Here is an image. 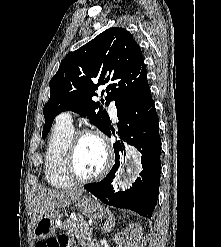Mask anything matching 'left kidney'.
Listing matches in <instances>:
<instances>
[{
	"mask_svg": "<svg viewBox=\"0 0 221 247\" xmlns=\"http://www.w3.org/2000/svg\"><path fill=\"white\" fill-rule=\"evenodd\" d=\"M143 228L140 224L130 225L121 235L115 236L118 247H139Z\"/></svg>",
	"mask_w": 221,
	"mask_h": 247,
	"instance_id": "obj_1",
	"label": "left kidney"
}]
</instances>
